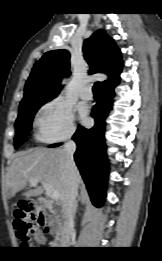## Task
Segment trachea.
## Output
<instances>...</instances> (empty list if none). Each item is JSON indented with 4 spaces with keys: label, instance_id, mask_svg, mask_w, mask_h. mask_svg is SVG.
I'll use <instances>...</instances> for the list:
<instances>
[{
    "label": "trachea",
    "instance_id": "3493384b",
    "mask_svg": "<svg viewBox=\"0 0 162 261\" xmlns=\"http://www.w3.org/2000/svg\"><path fill=\"white\" fill-rule=\"evenodd\" d=\"M100 89H101V84L100 82H96L93 86V93L94 95H100Z\"/></svg>",
    "mask_w": 162,
    "mask_h": 261
}]
</instances>
